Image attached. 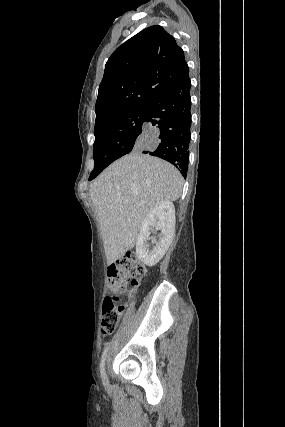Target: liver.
Listing matches in <instances>:
<instances>
[{"instance_id":"obj_1","label":"liver","mask_w":285,"mask_h":427,"mask_svg":"<svg viewBox=\"0 0 285 427\" xmlns=\"http://www.w3.org/2000/svg\"><path fill=\"white\" fill-rule=\"evenodd\" d=\"M182 186V175L172 164L140 152L123 156L96 178L90 196L108 264L134 247L147 214L161 201H176Z\"/></svg>"}]
</instances>
